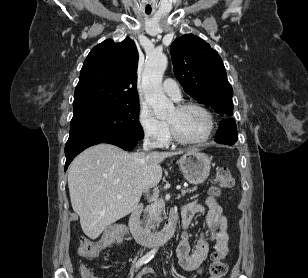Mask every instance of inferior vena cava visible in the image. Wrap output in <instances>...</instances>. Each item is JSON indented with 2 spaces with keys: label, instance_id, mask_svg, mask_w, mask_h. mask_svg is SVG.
I'll return each mask as SVG.
<instances>
[{
  "label": "inferior vena cava",
  "instance_id": "obj_1",
  "mask_svg": "<svg viewBox=\"0 0 308 278\" xmlns=\"http://www.w3.org/2000/svg\"><path fill=\"white\" fill-rule=\"evenodd\" d=\"M150 148H151L150 139H149V137H146V138L144 139V143H143V150L149 151ZM147 192H148V191H146V193H147Z\"/></svg>",
  "mask_w": 308,
  "mask_h": 278
}]
</instances>
